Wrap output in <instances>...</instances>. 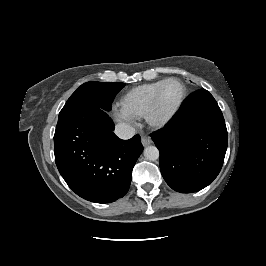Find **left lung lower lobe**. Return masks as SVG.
Here are the masks:
<instances>
[{
	"label": "left lung lower lobe",
	"instance_id": "left-lung-lower-lobe-1",
	"mask_svg": "<svg viewBox=\"0 0 266 266\" xmlns=\"http://www.w3.org/2000/svg\"><path fill=\"white\" fill-rule=\"evenodd\" d=\"M160 152V169L177 192L192 193L219 174L228 135L223 114L207 90L189 96L164 130L152 136Z\"/></svg>",
	"mask_w": 266,
	"mask_h": 266
}]
</instances>
